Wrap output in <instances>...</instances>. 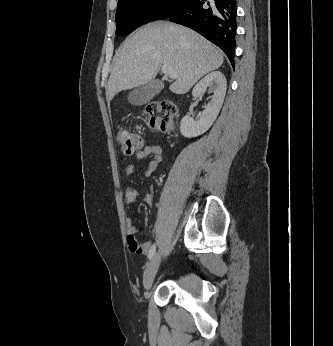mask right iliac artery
<instances>
[{
  "label": "right iliac artery",
  "instance_id": "1",
  "mask_svg": "<svg viewBox=\"0 0 333 346\" xmlns=\"http://www.w3.org/2000/svg\"><path fill=\"white\" fill-rule=\"evenodd\" d=\"M155 252H156V245L153 244L151 249H150V251H149V254H148V259L149 260L152 259V257L154 256Z\"/></svg>",
  "mask_w": 333,
  "mask_h": 346
}]
</instances>
